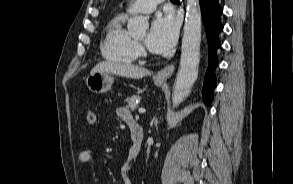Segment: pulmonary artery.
<instances>
[{"label":"pulmonary artery","mask_w":293,"mask_h":184,"mask_svg":"<svg viewBox=\"0 0 293 184\" xmlns=\"http://www.w3.org/2000/svg\"><path fill=\"white\" fill-rule=\"evenodd\" d=\"M164 0H135L128 8L129 13H151L156 9V6Z\"/></svg>","instance_id":"pulmonary-artery-1"}]
</instances>
